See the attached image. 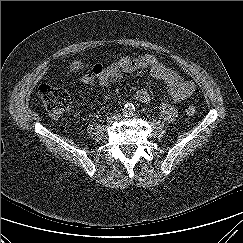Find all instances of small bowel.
<instances>
[{
	"instance_id": "1",
	"label": "small bowel",
	"mask_w": 243,
	"mask_h": 243,
	"mask_svg": "<svg viewBox=\"0 0 243 243\" xmlns=\"http://www.w3.org/2000/svg\"><path fill=\"white\" fill-rule=\"evenodd\" d=\"M145 69L149 70L153 78L165 83L168 98L173 102L185 100L195 91L196 87L192 81L185 80L176 71L150 54L125 56L109 65L95 64L91 73L80 77V82L89 87L96 84L107 86L119 81L125 74ZM134 98L141 103H149L151 100L146 89L137 90ZM160 115L165 121L173 122L176 119L177 111L171 104L163 102L160 105Z\"/></svg>"
}]
</instances>
